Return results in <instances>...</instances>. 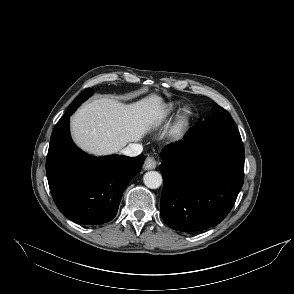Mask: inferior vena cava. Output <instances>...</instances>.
<instances>
[{"label": "inferior vena cava", "instance_id": "inferior-vena-cava-1", "mask_svg": "<svg viewBox=\"0 0 294 294\" xmlns=\"http://www.w3.org/2000/svg\"><path fill=\"white\" fill-rule=\"evenodd\" d=\"M143 147L141 144L130 143L127 147L122 149L120 152L129 157H135L141 154Z\"/></svg>", "mask_w": 294, "mask_h": 294}]
</instances>
